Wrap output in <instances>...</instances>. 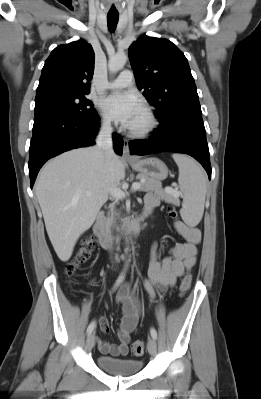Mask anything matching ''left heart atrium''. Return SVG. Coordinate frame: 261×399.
<instances>
[{"label": "left heart atrium", "mask_w": 261, "mask_h": 399, "mask_svg": "<svg viewBox=\"0 0 261 399\" xmlns=\"http://www.w3.org/2000/svg\"><path fill=\"white\" fill-rule=\"evenodd\" d=\"M103 112L112 120L131 128L136 119L143 113V106L133 93H113L101 103Z\"/></svg>", "instance_id": "1"}]
</instances>
